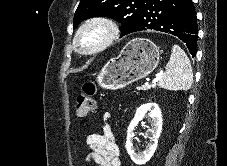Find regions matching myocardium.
<instances>
[{
	"label": "myocardium",
	"instance_id": "f54148a6",
	"mask_svg": "<svg viewBox=\"0 0 227 166\" xmlns=\"http://www.w3.org/2000/svg\"><path fill=\"white\" fill-rule=\"evenodd\" d=\"M101 29L102 36L98 42L88 48H83L79 41L81 36L91 29ZM120 35V29L117 23L106 16H95L86 19L76 30L72 45L80 54L94 55L109 47Z\"/></svg>",
	"mask_w": 227,
	"mask_h": 166
}]
</instances>
